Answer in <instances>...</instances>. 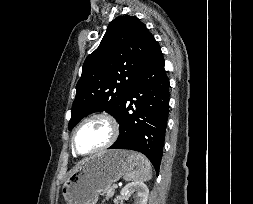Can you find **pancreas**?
<instances>
[{"label":"pancreas","mask_w":253,"mask_h":204,"mask_svg":"<svg viewBox=\"0 0 253 204\" xmlns=\"http://www.w3.org/2000/svg\"><path fill=\"white\" fill-rule=\"evenodd\" d=\"M115 193V188L112 186L107 187V189L102 193V195L106 196V199L111 198Z\"/></svg>","instance_id":"pancreas-1"}]
</instances>
